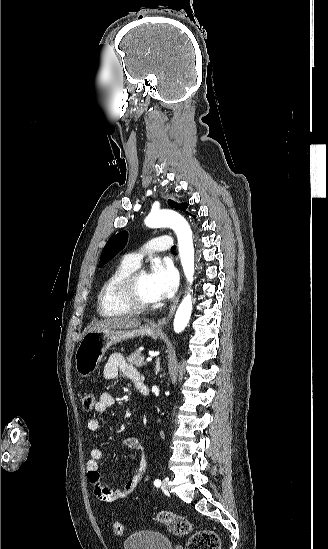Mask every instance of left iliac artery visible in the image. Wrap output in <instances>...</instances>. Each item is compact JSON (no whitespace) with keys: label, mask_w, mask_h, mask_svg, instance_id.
<instances>
[{"label":"left iliac artery","mask_w":328,"mask_h":549,"mask_svg":"<svg viewBox=\"0 0 328 549\" xmlns=\"http://www.w3.org/2000/svg\"><path fill=\"white\" fill-rule=\"evenodd\" d=\"M154 485H155L156 487H159V486L161 485V481L158 480V479H156V480L154 481Z\"/></svg>","instance_id":"obj_1"}]
</instances>
